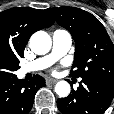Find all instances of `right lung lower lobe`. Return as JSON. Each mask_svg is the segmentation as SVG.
Segmentation results:
<instances>
[{"mask_svg":"<svg viewBox=\"0 0 114 114\" xmlns=\"http://www.w3.org/2000/svg\"><path fill=\"white\" fill-rule=\"evenodd\" d=\"M45 86V79L36 75L26 82L17 78L0 83V114H28L37 90Z\"/></svg>","mask_w":114,"mask_h":114,"instance_id":"98d812e1","label":"right lung lower lobe"}]
</instances>
